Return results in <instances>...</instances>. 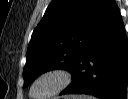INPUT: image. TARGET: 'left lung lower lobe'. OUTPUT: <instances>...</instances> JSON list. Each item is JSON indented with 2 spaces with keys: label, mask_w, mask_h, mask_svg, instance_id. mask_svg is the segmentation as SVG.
Segmentation results:
<instances>
[{
  "label": "left lung lower lobe",
  "mask_w": 128,
  "mask_h": 99,
  "mask_svg": "<svg viewBox=\"0 0 128 99\" xmlns=\"http://www.w3.org/2000/svg\"><path fill=\"white\" fill-rule=\"evenodd\" d=\"M74 81L64 94H88L101 99H126L128 39L120 10L109 0L89 41L69 70Z\"/></svg>",
  "instance_id": "left-lung-lower-lobe-1"
}]
</instances>
